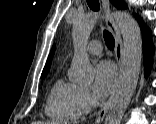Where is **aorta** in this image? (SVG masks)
Segmentation results:
<instances>
[{
    "label": "aorta",
    "mask_w": 156,
    "mask_h": 124,
    "mask_svg": "<svg viewBox=\"0 0 156 124\" xmlns=\"http://www.w3.org/2000/svg\"><path fill=\"white\" fill-rule=\"evenodd\" d=\"M112 16L123 37V59L119 85L104 124H121L139 79L142 38L139 26L131 15L116 11L112 13ZM98 19L99 14L90 13L77 19L73 25L72 37L75 52L70 78L75 83L89 84L93 81V68L86 52V45Z\"/></svg>",
    "instance_id": "1"
}]
</instances>
